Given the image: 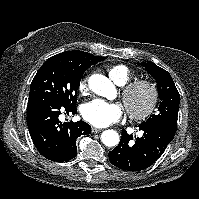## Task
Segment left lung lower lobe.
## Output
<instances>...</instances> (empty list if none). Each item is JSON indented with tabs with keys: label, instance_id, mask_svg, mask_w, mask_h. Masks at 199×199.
<instances>
[{
	"label": "left lung lower lobe",
	"instance_id": "0a47b994",
	"mask_svg": "<svg viewBox=\"0 0 199 199\" xmlns=\"http://www.w3.org/2000/svg\"><path fill=\"white\" fill-rule=\"evenodd\" d=\"M142 137H135L122 130L120 143L109 152V161L126 171H141L150 167L172 141L176 131L161 125H139Z\"/></svg>",
	"mask_w": 199,
	"mask_h": 199
}]
</instances>
